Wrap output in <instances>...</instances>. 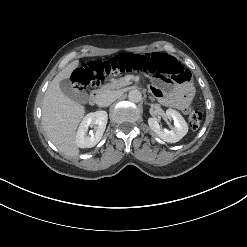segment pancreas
I'll use <instances>...</instances> for the list:
<instances>
[{"instance_id": "pancreas-1", "label": "pancreas", "mask_w": 247, "mask_h": 247, "mask_svg": "<svg viewBox=\"0 0 247 247\" xmlns=\"http://www.w3.org/2000/svg\"><path fill=\"white\" fill-rule=\"evenodd\" d=\"M129 84L130 82L126 80L125 77L114 79L111 83L102 86L99 90V93H103L108 90L119 89Z\"/></svg>"}]
</instances>
